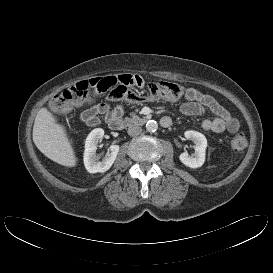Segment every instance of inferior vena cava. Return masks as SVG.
<instances>
[{"mask_svg": "<svg viewBox=\"0 0 273 273\" xmlns=\"http://www.w3.org/2000/svg\"><path fill=\"white\" fill-rule=\"evenodd\" d=\"M141 131H142V129L138 125H130L128 127V134L130 136H137V135H139L141 133Z\"/></svg>", "mask_w": 273, "mask_h": 273, "instance_id": "inferior-vena-cava-1", "label": "inferior vena cava"}]
</instances>
